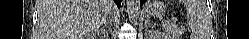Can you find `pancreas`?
<instances>
[{"label":"pancreas","instance_id":"1","mask_svg":"<svg viewBox=\"0 0 249 39\" xmlns=\"http://www.w3.org/2000/svg\"><path fill=\"white\" fill-rule=\"evenodd\" d=\"M168 32L174 37L180 35V30L178 28L169 29Z\"/></svg>","mask_w":249,"mask_h":39}]
</instances>
